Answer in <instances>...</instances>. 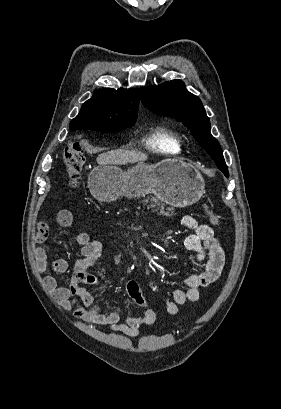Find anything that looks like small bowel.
Wrapping results in <instances>:
<instances>
[{"instance_id":"1","label":"small bowel","mask_w":281,"mask_h":409,"mask_svg":"<svg viewBox=\"0 0 281 409\" xmlns=\"http://www.w3.org/2000/svg\"><path fill=\"white\" fill-rule=\"evenodd\" d=\"M57 221L63 231L67 232L73 222L72 213L67 209L61 210ZM182 223L192 230V233L185 237L184 246L196 253V260L202 270L185 278V289L174 291L173 300L166 306L167 313L170 315L178 314L182 305L197 301L200 289L216 282L225 264L224 250L210 226L199 223L191 216H184ZM35 229L38 232L35 242L41 244L46 239L49 224L36 222ZM74 241L81 246V256L74 263L70 285L59 286L52 276L44 278L45 287L58 300L61 307L65 310L74 309L75 316L87 323L108 326L112 331L130 337L137 336L142 327L152 325L156 320V311L149 307L135 280L127 282L126 291L133 301L142 307L143 313L140 316H123L120 310L108 314L101 311L100 306L95 304L93 294L82 285L97 288L100 284L98 277L88 270L99 258L102 242L100 239L92 240L86 232L77 233ZM35 257L40 270L50 269L55 273H64L69 269V263L64 259L50 260L43 246L36 248Z\"/></svg>"}]
</instances>
